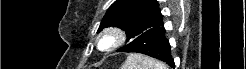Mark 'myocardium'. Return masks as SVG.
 I'll list each match as a JSON object with an SVG mask.
<instances>
[{"label":"myocardium","mask_w":246,"mask_h":69,"mask_svg":"<svg viewBox=\"0 0 246 69\" xmlns=\"http://www.w3.org/2000/svg\"><path fill=\"white\" fill-rule=\"evenodd\" d=\"M125 40L124 34L115 28L107 29L98 38V46L101 48L105 42L111 43L104 51H112L118 48Z\"/></svg>","instance_id":"f54148a6"}]
</instances>
